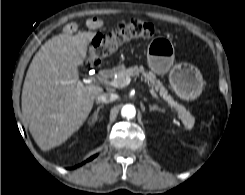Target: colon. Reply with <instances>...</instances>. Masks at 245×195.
Wrapping results in <instances>:
<instances>
[{
  "label": "colon",
  "instance_id": "1",
  "mask_svg": "<svg viewBox=\"0 0 245 195\" xmlns=\"http://www.w3.org/2000/svg\"><path fill=\"white\" fill-rule=\"evenodd\" d=\"M155 34L154 26L146 21L134 19L118 24L108 35L93 39L86 57L87 67L98 65L132 40H150Z\"/></svg>",
  "mask_w": 245,
  "mask_h": 195
}]
</instances>
